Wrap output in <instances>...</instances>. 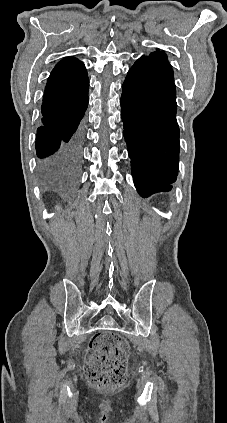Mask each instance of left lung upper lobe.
Wrapping results in <instances>:
<instances>
[{"mask_svg":"<svg viewBox=\"0 0 227 423\" xmlns=\"http://www.w3.org/2000/svg\"><path fill=\"white\" fill-rule=\"evenodd\" d=\"M128 73L138 74L151 79L168 94L173 105L177 107L173 70L164 52L157 49L156 52L150 53L148 57L142 56L135 62Z\"/></svg>","mask_w":227,"mask_h":423,"instance_id":"1","label":"left lung upper lobe"}]
</instances>
